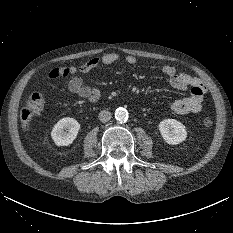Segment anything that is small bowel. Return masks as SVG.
<instances>
[{
	"mask_svg": "<svg viewBox=\"0 0 233 233\" xmlns=\"http://www.w3.org/2000/svg\"><path fill=\"white\" fill-rule=\"evenodd\" d=\"M120 56L116 53H106L100 57H93L82 64L79 68L75 66L65 68H55L49 72L46 80H54L62 76L70 75L72 78L68 83L71 93L86 99L90 103H95L100 99L101 93L97 88L87 86L78 76L80 73H88L101 65H110L117 62ZM125 61L128 64H135L137 58L134 55H127ZM161 72L169 78L171 86L177 90L190 89V96L177 99L171 102L168 109L176 114L198 113L202 110L204 95L206 93V85L199 78L189 74L178 72L174 66H164Z\"/></svg>",
	"mask_w": 233,
	"mask_h": 233,
	"instance_id": "small-bowel-1",
	"label": "small bowel"
}]
</instances>
